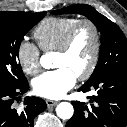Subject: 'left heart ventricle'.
Listing matches in <instances>:
<instances>
[{
  "label": "left heart ventricle",
  "instance_id": "b2bd125f",
  "mask_svg": "<svg viewBox=\"0 0 127 127\" xmlns=\"http://www.w3.org/2000/svg\"><path fill=\"white\" fill-rule=\"evenodd\" d=\"M92 52V32L89 28L83 27L76 35L68 53L55 54L54 67H66L78 76L88 67Z\"/></svg>",
  "mask_w": 127,
  "mask_h": 127
}]
</instances>
